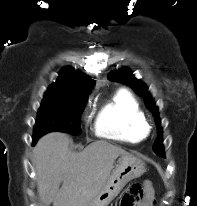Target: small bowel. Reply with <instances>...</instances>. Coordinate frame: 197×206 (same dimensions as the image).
<instances>
[{
    "label": "small bowel",
    "mask_w": 197,
    "mask_h": 206,
    "mask_svg": "<svg viewBox=\"0 0 197 206\" xmlns=\"http://www.w3.org/2000/svg\"><path fill=\"white\" fill-rule=\"evenodd\" d=\"M147 187L150 188L149 185H147ZM150 194H152V190L148 193V195H150ZM133 206H141V205H140V202H139V203H135Z\"/></svg>",
    "instance_id": "small-bowel-1"
}]
</instances>
